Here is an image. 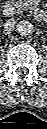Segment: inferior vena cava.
Listing matches in <instances>:
<instances>
[{"label": "inferior vena cava", "instance_id": "602c4592", "mask_svg": "<svg viewBox=\"0 0 47 129\" xmlns=\"http://www.w3.org/2000/svg\"><path fill=\"white\" fill-rule=\"evenodd\" d=\"M15 24L16 22L14 19L7 20V22L4 24V31L6 33H11L14 30Z\"/></svg>", "mask_w": 47, "mask_h": 129}]
</instances>
